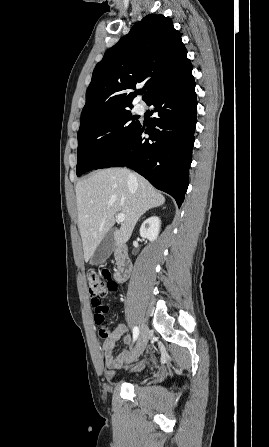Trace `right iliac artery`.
Returning a JSON list of instances; mask_svg holds the SVG:
<instances>
[{
    "label": "right iliac artery",
    "instance_id": "1",
    "mask_svg": "<svg viewBox=\"0 0 269 447\" xmlns=\"http://www.w3.org/2000/svg\"><path fill=\"white\" fill-rule=\"evenodd\" d=\"M139 335V328L137 326H135L133 328V340L136 341Z\"/></svg>",
    "mask_w": 269,
    "mask_h": 447
}]
</instances>
